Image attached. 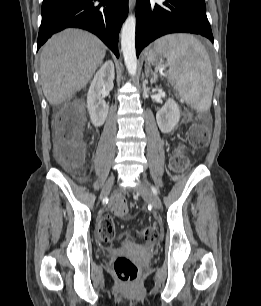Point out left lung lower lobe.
Listing matches in <instances>:
<instances>
[{
  "mask_svg": "<svg viewBox=\"0 0 261 306\" xmlns=\"http://www.w3.org/2000/svg\"><path fill=\"white\" fill-rule=\"evenodd\" d=\"M136 53L155 39L170 33H194L213 42L204 0H137Z\"/></svg>",
  "mask_w": 261,
  "mask_h": 306,
  "instance_id": "left-lung-lower-lobe-1",
  "label": "left lung lower lobe"
}]
</instances>
